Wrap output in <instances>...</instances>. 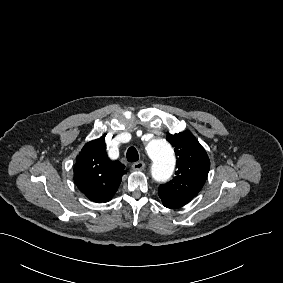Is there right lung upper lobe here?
<instances>
[{
  "label": "right lung upper lobe",
  "mask_w": 283,
  "mask_h": 283,
  "mask_svg": "<svg viewBox=\"0 0 283 283\" xmlns=\"http://www.w3.org/2000/svg\"><path fill=\"white\" fill-rule=\"evenodd\" d=\"M125 166L107 157L104 138L85 144L76 158L74 181L77 187L94 202H108L117 191Z\"/></svg>",
  "instance_id": "right-lung-upper-lobe-1"
}]
</instances>
